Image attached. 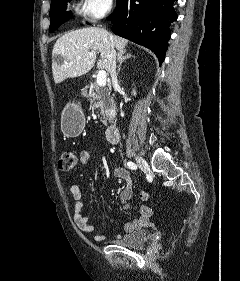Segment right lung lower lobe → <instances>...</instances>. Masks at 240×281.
<instances>
[{
    "label": "right lung lower lobe",
    "instance_id": "1",
    "mask_svg": "<svg viewBox=\"0 0 240 281\" xmlns=\"http://www.w3.org/2000/svg\"><path fill=\"white\" fill-rule=\"evenodd\" d=\"M176 0H117L108 17L113 32L152 50L160 64L170 39L169 26L177 19L172 7Z\"/></svg>",
    "mask_w": 240,
    "mask_h": 281
}]
</instances>
